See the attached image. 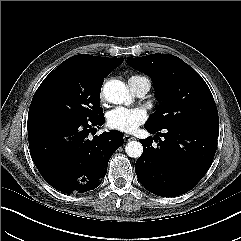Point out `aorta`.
I'll return each mask as SVG.
<instances>
[{"label":"aorta","instance_id":"aorta-1","mask_svg":"<svg viewBox=\"0 0 241 241\" xmlns=\"http://www.w3.org/2000/svg\"><path fill=\"white\" fill-rule=\"evenodd\" d=\"M103 94L105 99L113 104H123L131 100L128 88L120 80L106 82ZM125 152L131 158H138L143 152V146L139 141H130L126 144Z\"/></svg>","mask_w":241,"mask_h":241}]
</instances>
